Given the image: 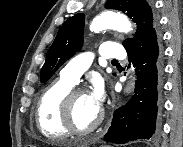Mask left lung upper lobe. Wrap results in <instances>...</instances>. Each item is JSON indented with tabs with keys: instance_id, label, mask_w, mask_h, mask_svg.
Wrapping results in <instances>:
<instances>
[{
	"instance_id": "1",
	"label": "left lung upper lobe",
	"mask_w": 183,
	"mask_h": 147,
	"mask_svg": "<svg viewBox=\"0 0 183 147\" xmlns=\"http://www.w3.org/2000/svg\"><path fill=\"white\" fill-rule=\"evenodd\" d=\"M105 7L126 13L137 24L135 36L123 41L125 49L148 35L158 24L146 0H107ZM84 23V14L79 13L68 18L59 29L41 69V82H46L65 61L82 47Z\"/></svg>"
}]
</instances>
